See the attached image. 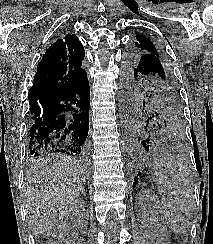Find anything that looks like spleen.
Listing matches in <instances>:
<instances>
[{"mask_svg": "<svg viewBox=\"0 0 213 244\" xmlns=\"http://www.w3.org/2000/svg\"><path fill=\"white\" fill-rule=\"evenodd\" d=\"M165 221L171 231H187L195 205L194 186L187 170L174 157L160 155L152 165Z\"/></svg>", "mask_w": 213, "mask_h": 244, "instance_id": "3e777b00", "label": "spleen"}]
</instances>
